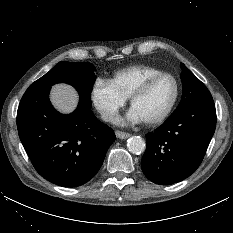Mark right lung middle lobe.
<instances>
[{
	"label": "right lung middle lobe",
	"mask_w": 233,
	"mask_h": 233,
	"mask_svg": "<svg viewBox=\"0 0 233 233\" xmlns=\"http://www.w3.org/2000/svg\"><path fill=\"white\" fill-rule=\"evenodd\" d=\"M94 70L95 67L88 62H59L31 86L51 87L56 83H68L76 88L80 100L91 107V91L96 80Z\"/></svg>",
	"instance_id": "dd1d6c3e"
}]
</instances>
